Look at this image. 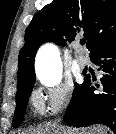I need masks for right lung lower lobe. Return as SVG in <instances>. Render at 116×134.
Returning <instances> with one entry per match:
<instances>
[{"label":"right lung lower lobe","mask_w":116,"mask_h":134,"mask_svg":"<svg viewBox=\"0 0 116 134\" xmlns=\"http://www.w3.org/2000/svg\"><path fill=\"white\" fill-rule=\"evenodd\" d=\"M90 58L102 71L101 83L84 80L68 105L65 123L73 127L100 123L116 134V38L91 52Z\"/></svg>","instance_id":"98d812e1"}]
</instances>
